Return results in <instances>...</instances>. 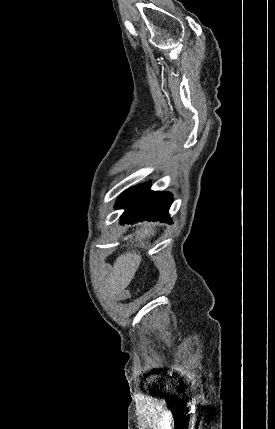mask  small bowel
<instances>
[{
	"label": "small bowel",
	"instance_id": "obj_1",
	"mask_svg": "<svg viewBox=\"0 0 275 429\" xmlns=\"http://www.w3.org/2000/svg\"><path fill=\"white\" fill-rule=\"evenodd\" d=\"M128 296H129V293L126 290H119L116 292V298L119 300L126 299L128 298Z\"/></svg>",
	"mask_w": 275,
	"mask_h": 429
}]
</instances>
